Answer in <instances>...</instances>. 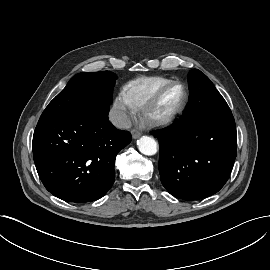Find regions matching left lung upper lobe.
Here are the masks:
<instances>
[{"mask_svg": "<svg viewBox=\"0 0 270 270\" xmlns=\"http://www.w3.org/2000/svg\"><path fill=\"white\" fill-rule=\"evenodd\" d=\"M189 102L197 116L204 120H216L233 117L232 112L214 87L210 79L200 70L193 69L188 74Z\"/></svg>", "mask_w": 270, "mask_h": 270, "instance_id": "1", "label": "left lung upper lobe"}]
</instances>
